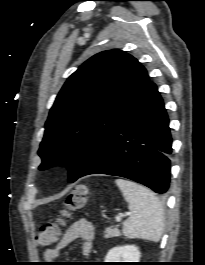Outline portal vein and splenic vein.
<instances>
[{
  "label": "portal vein and splenic vein",
  "instance_id": "18ae733b",
  "mask_svg": "<svg viewBox=\"0 0 205 265\" xmlns=\"http://www.w3.org/2000/svg\"><path fill=\"white\" fill-rule=\"evenodd\" d=\"M127 215H130V213H128ZM116 221L120 222L121 221V217H116Z\"/></svg>",
  "mask_w": 205,
  "mask_h": 265
}]
</instances>
